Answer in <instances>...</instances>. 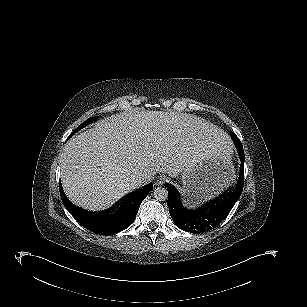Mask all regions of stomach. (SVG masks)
Returning <instances> with one entry per match:
<instances>
[{
	"mask_svg": "<svg viewBox=\"0 0 307 307\" xmlns=\"http://www.w3.org/2000/svg\"><path fill=\"white\" fill-rule=\"evenodd\" d=\"M231 159L213 154L194 163L181 173L185 203L196 205L220 194L234 178Z\"/></svg>",
	"mask_w": 307,
	"mask_h": 307,
	"instance_id": "0dacf381",
	"label": "stomach"
}]
</instances>
